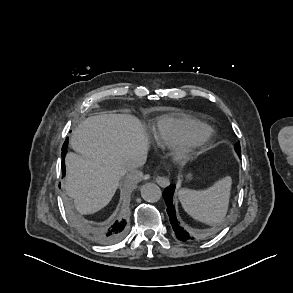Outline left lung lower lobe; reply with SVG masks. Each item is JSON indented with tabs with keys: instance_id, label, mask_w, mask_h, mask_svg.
I'll return each instance as SVG.
<instances>
[{
	"instance_id": "obj_1",
	"label": "left lung lower lobe",
	"mask_w": 293,
	"mask_h": 293,
	"mask_svg": "<svg viewBox=\"0 0 293 293\" xmlns=\"http://www.w3.org/2000/svg\"><path fill=\"white\" fill-rule=\"evenodd\" d=\"M239 157H241V153H238ZM175 186L171 185L164 190L163 197L166 201L167 205V213L170 219V223L172 225L173 230L175 231L176 237L181 241H186L190 239V236L187 232L183 230L180 226L179 222L177 221L175 215V208L173 206V193H174Z\"/></svg>"
}]
</instances>
